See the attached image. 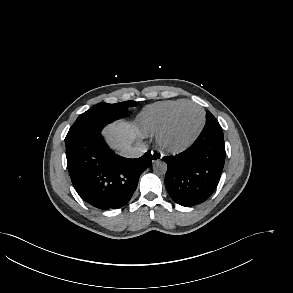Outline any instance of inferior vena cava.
<instances>
[{"label": "inferior vena cava", "mask_w": 293, "mask_h": 293, "mask_svg": "<svg viewBox=\"0 0 293 293\" xmlns=\"http://www.w3.org/2000/svg\"><path fill=\"white\" fill-rule=\"evenodd\" d=\"M146 152L143 144L136 143L132 146H128L122 151V155L127 158H139Z\"/></svg>", "instance_id": "inferior-vena-cava-1"}]
</instances>
